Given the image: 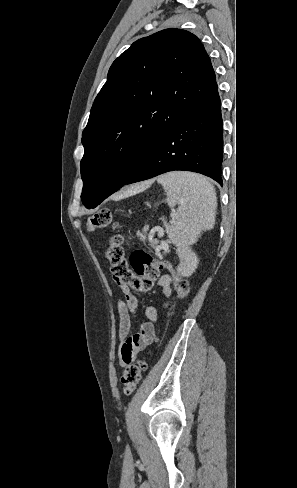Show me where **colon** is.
<instances>
[{"mask_svg":"<svg viewBox=\"0 0 297 488\" xmlns=\"http://www.w3.org/2000/svg\"><path fill=\"white\" fill-rule=\"evenodd\" d=\"M115 226L113 214L107 208L98 210L89 218L91 230ZM122 244L123 239L120 235L111 236L106 258L111 265L113 278L140 291H149L153 288L161 271L168 270L174 277L176 298L182 299L187 296L189 282L180 275L175 264L168 260L154 258L143 250H136L127 258ZM146 369L147 363L144 359H138L125 367L121 375V385L125 395H130L135 391L142 373Z\"/></svg>","mask_w":297,"mask_h":488,"instance_id":"5ec220e1","label":"colon"}]
</instances>
